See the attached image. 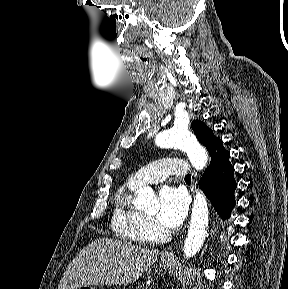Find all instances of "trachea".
<instances>
[{
  "label": "trachea",
  "mask_w": 288,
  "mask_h": 289,
  "mask_svg": "<svg viewBox=\"0 0 288 289\" xmlns=\"http://www.w3.org/2000/svg\"><path fill=\"white\" fill-rule=\"evenodd\" d=\"M145 62L149 63V60H147L146 58L144 59ZM185 180H191V175H186L185 176Z\"/></svg>",
  "instance_id": "1"
}]
</instances>
